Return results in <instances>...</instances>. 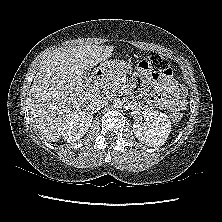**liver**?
<instances>
[{
	"label": "liver",
	"mask_w": 222,
	"mask_h": 222,
	"mask_svg": "<svg viewBox=\"0 0 222 222\" xmlns=\"http://www.w3.org/2000/svg\"><path fill=\"white\" fill-rule=\"evenodd\" d=\"M112 51L113 46L82 45L56 50L42 60L29 92L28 108L31 122L43 138L60 139L66 120L80 112L90 98L84 84L86 73L108 59ZM115 63L110 66L117 68Z\"/></svg>",
	"instance_id": "obj_1"
}]
</instances>
